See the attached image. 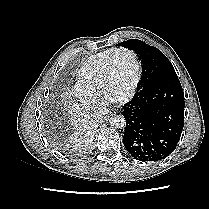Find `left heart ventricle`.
Wrapping results in <instances>:
<instances>
[{
	"label": "left heart ventricle",
	"mask_w": 209,
	"mask_h": 209,
	"mask_svg": "<svg viewBox=\"0 0 209 209\" xmlns=\"http://www.w3.org/2000/svg\"><path fill=\"white\" fill-rule=\"evenodd\" d=\"M136 67L130 54L121 53L113 59V69L109 87V94L112 97L126 95L135 80Z\"/></svg>",
	"instance_id": "left-heart-ventricle-1"
}]
</instances>
